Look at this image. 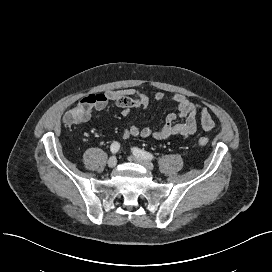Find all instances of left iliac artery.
Listing matches in <instances>:
<instances>
[{
	"mask_svg": "<svg viewBox=\"0 0 272 272\" xmlns=\"http://www.w3.org/2000/svg\"><path fill=\"white\" fill-rule=\"evenodd\" d=\"M132 151H133L134 155H136L138 157H141L143 159H147V160H153L154 159V156L151 153H149L147 151H144V150H141L139 148H133Z\"/></svg>",
	"mask_w": 272,
	"mask_h": 272,
	"instance_id": "left-iliac-artery-1",
	"label": "left iliac artery"
}]
</instances>
